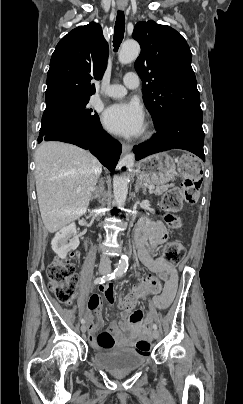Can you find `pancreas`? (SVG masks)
Instances as JSON below:
<instances>
[{
  "label": "pancreas",
  "instance_id": "obj_1",
  "mask_svg": "<svg viewBox=\"0 0 243 404\" xmlns=\"http://www.w3.org/2000/svg\"><path fill=\"white\" fill-rule=\"evenodd\" d=\"M169 186H156V190H152L150 194H156V196H161L163 192H166L168 190Z\"/></svg>",
  "mask_w": 243,
  "mask_h": 404
}]
</instances>
